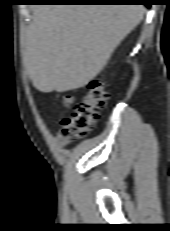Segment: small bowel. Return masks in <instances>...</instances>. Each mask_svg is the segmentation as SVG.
I'll use <instances>...</instances> for the list:
<instances>
[{"mask_svg":"<svg viewBox=\"0 0 170 231\" xmlns=\"http://www.w3.org/2000/svg\"><path fill=\"white\" fill-rule=\"evenodd\" d=\"M57 141H58V143L61 144V145H66L67 142H68V140H66V139L62 136L61 131L57 134Z\"/></svg>","mask_w":170,"mask_h":231,"instance_id":"c3829d8e","label":"small bowel"}]
</instances>
